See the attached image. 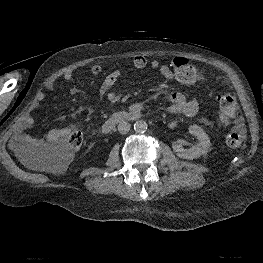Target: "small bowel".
Wrapping results in <instances>:
<instances>
[{"mask_svg":"<svg viewBox=\"0 0 263 263\" xmlns=\"http://www.w3.org/2000/svg\"><path fill=\"white\" fill-rule=\"evenodd\" d=\"M132 64L135 69L142 70L149 67L167 80L175 79L172 67L166 64H162L157 60H153L152 62L148 63V61L144 57L137 56L133 59ZM102 70L103 68L99 64H94L90 67V72L94 75L100 74ZM121 75L122 72L120 70H114L108 73L102 82L100 89L101 93H107L108 91H110L120 79ZM62 78L65 82H70L72 80V74L65 73ZM52 86L53 84H50V87ZM71 92L73 94H76L77 90L75 88H72ZM44 98L45 95L43 92H39L37 94L38 102L43 101ZM160 99L162 102L167 103L165 109L169 113L182 114L187 117H194L199 112L198 102L193 99L188 100L182 92L164 93L160 96ZM88 110L92 111L93 107H90ZM33 122L34 121L31 116H27L24 118L22 124L23 132L19 135V140L36 150L55 149L61 146L64 140L67 138L68 134L72 131L70 127L55 128L52 129L45 137H33L24 132V130L30 128L33 125ZM202 122L206 125L211 124V121L208 119H203Z\"/></svg>","mask_w":263,"mask_h":263,"instance_id":"small-bowel-1","label":"small bowel"}]
</instances>
